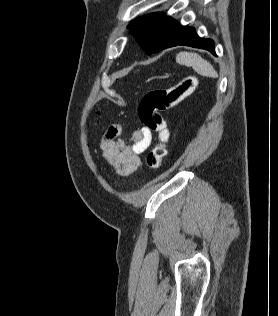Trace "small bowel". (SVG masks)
Wrapping results in <instances>:
<instances>
[{
    "label": "small bowel",
    "instance_id": "c3829d8e",
    "mask_svg": "<svg viewBox=\"0 0 278 316\" xmlns=\"http://www.w3.org/2000/svg\"><path fill=\"white\" fill-rule=\"evenodd\" d=\"M122 127L112 124L100 142L102 157L117 174L128 176L135 172L141 164L140 155L152 142V132L147 127L132 132L130 140L121 138Z\"/></svg>",
    "mask_w": 278,
    "mask_h": 316
}]
</instances>
